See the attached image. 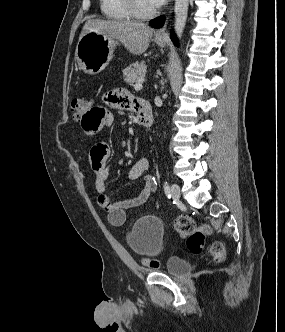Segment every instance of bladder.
<instances>
[{
	"instance_id": "1",
	"label": "bladder",
	"mask_w": 285,
	"mask_h": 332,
	"mask_svg": "<svg viewBox=\"0 0 285 332\" xmlns=\"http://www.w3.org/2000/svg\"><path fill=\"white\" fill-rule=\"evenodd\" d=\"M165 235L163 223L154 216H143L137 219L126 234L130 250L138 256H152L159 252ZM190 264L180 257H170L166 264L167 273L181 276L187 273Z\"/></svg>"
}]
</instances>
